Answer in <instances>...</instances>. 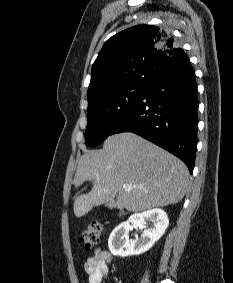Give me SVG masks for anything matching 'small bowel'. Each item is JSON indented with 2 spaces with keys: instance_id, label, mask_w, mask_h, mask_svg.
<instances>
[{
  "instance_id": "obj_1",
  "label": "small bowel",
  "mask_w": 233,
  "mask_h": 283,
  "mask_svg": "<svg viewBox=\"0 0 233 283\" xmlns=\"http://www.w3.org/2000/svg\"><path fill=\"white\" fill-rule=\"evenodd\" d=\"M112 255L107 250L96 248L87 258L84 268L89 276V283H101L109 274Z\"/></svg>"
}]
</instances>
